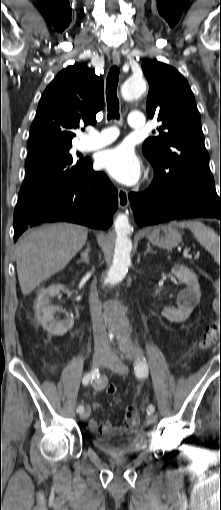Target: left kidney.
Returning a JSON list of instances; mask_svg holds the SVG:
<instances>
[{
    "label": "left kidney",
    "instance_id": "obj_1",
    "mask_svg": "<svg viewBox=\"0 0 221 510\" xmlns=\"http://www.w3.org/2000/svg\"><path fill=\"white\" fill-rule=\"evenodd\" d=\"M171 272L182 283L186 284V288L181 291L178 296V308L171 309L165 307L161 315L171 322H183L189 318L194 307L199 303L201 292L197 276L186 266L176 264Z\"/></svg>",
    "mask_w": 221,
    "mask_h": 510
}]
</instances>
